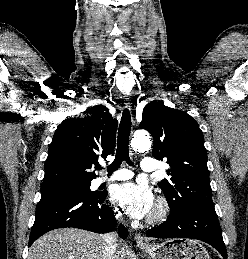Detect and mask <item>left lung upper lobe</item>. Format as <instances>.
<instances>
[{
    "label": "left lung upper lobe",
    "mask_w": 248,
    "mask_h": 259,
    "mask_svg": "<svg viewBox=\"0 0 248 259\" xmlns=\"http://www.w3.org/2000/svg\"><path fill=\"white\" fill-rule=\"evenodd\" d=\"M140 127L154 139L153 157L167 160L171 179L158 182L172 212L214 207L207 152L197 122L160 102L148 103Z\"/></svg>",
    "instance_id": "left-lung-upper-lobe-1"
}]
</instances>
